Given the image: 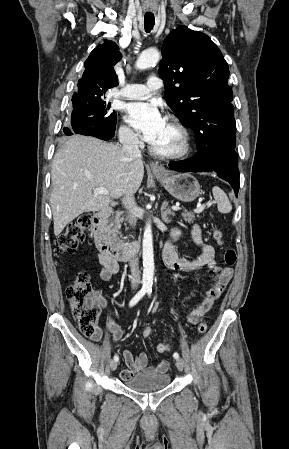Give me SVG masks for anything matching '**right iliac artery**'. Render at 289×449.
Masks as SVG:
<instances>
[{"label": "right iliac artery", "instance_id": "82829eb1", "mask_svg": "<svg viewBox=\"0 0 289 449\" xmlns=\"http://www.w3.org/2000/svg\"><path fill=\"white\" fill-rule=\"evenodd\" d=\"M147 289H141L130 301L129 307H133L147 292ZM119 357L118 355L114 356V361H118Z\"/></svg>", "mask_w": 289, "mask_h": 449}]
</instances>
